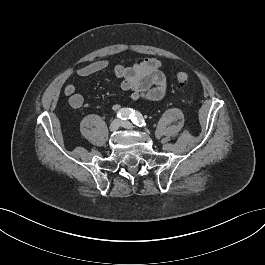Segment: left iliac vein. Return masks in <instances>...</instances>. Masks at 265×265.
Masks as SVG:
<instances>
[{
  "label": "left iliac vein",
  "instance_id": "left-iliac-vein-1",
  "mask_svg": "<svg viewBox=\"0 0 265 265\" xmlns=\"http://www.w3.org/2000/svg\"><path fill=\"white\" fill-rule=\"evenodd\" d=\"M121 126L126 129H133V125L129 121H121Z\"/></svg>",
  "mask_w": 265,
  "mask_h": 265
}]
</instances>
